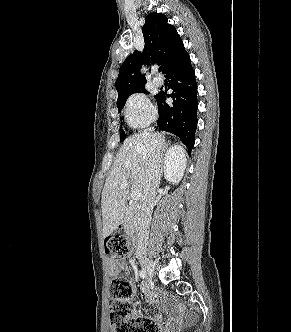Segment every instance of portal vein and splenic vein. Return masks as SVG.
Returning a JSON list of instances; mask_svg holds the SVG:
<instances>
[{
    "instance_id": "18ae733b",
    "label": "portal vein and splenic vein",
    "mask_w": 291,
    "mask_h": 332,
    "mask_svg": "<svg viewBox=\"0 0 291 332\" xmlns=\"http://www.w3.org/2000/svg\"><path fill=\"white\" fill-rule=\"evenodd\" d=\"M128 186V182L127 181H123L121 183V188H126ZM130 197L133 201H139L142 197V193L138 190H133L131 191Z\"/></svg>"
}]
</instances>
